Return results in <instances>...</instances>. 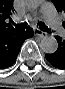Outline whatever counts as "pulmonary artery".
<instances>
[{
  "label": "pulmonary artery",
  "instance_id": "e3ab8cb5",
  "mask_svg": "<svg viewBox=\"0 0 65 89\" xmlns=\"http://www.w3.org/2000/svg\"><path fill=\"white\" fill-rule=\"evenodd\" d=\"M39 15H41L46 20L48 26L52 30L58 31L60 29L59 18L57 16L54 6L51 3H44L39 11Z\"/></svg>",
  "mask_w": 65,
  "mask_h": 89
}]
</instances>
